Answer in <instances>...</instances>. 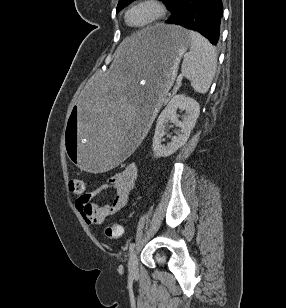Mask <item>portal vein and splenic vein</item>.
<instances>
[{
  "instance_id": "18ae733b",
  "label": "portal vein and splenic vein",
  "mask_w": 286,
  "mask_h": 308,
  "mask_svg": "<svg viewBox=\"0 0 286 308\" xmlns=\"http://www.w3.org/2000/svg\"><path fill=\"white\" fill-rule=\"evenodd\" d=\"M182 79H183L182 75H179V76L177 77V80H176L177 86H179V85L181 84Z\"/></svg>"
}]
</instances>
